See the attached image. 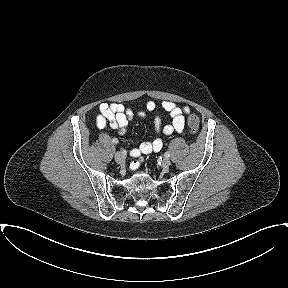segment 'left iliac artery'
Instances as JSON below:
<instances>
[{
    "label": "left iliac artery",
    "instance_id": "left-iliac-artery-1",
    "mask_svg": "<svg viewBox=\"0 0 288 288\" xmlns=\"http://www.w3.org/2000/svg\"><path fill=\"white\" fill-rule=\"evenodd\" d=\"M164 156L169 158L170 157V153L167 151V152H165Z\"/></svg>",
    "mask_w": 288,
    "mask_h": 288
}]
</instances>
